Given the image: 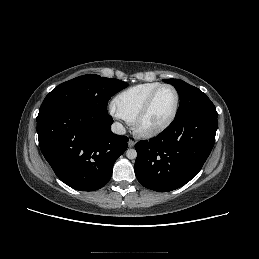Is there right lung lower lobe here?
<instances>
[{
  "label": "right lung lower lobe",
  "instance_id": "right-lung-lower-lobe-1",
  "mask_svg": "<svg viewBox=\"0 0 259 259\" xmlns=\"http://www.w3.org/2000/svg\"><path fill=\"white\" fill-rule=\"evenodd\" d=\"M108 112L80 104H61L37 117L40 149L66 185L80 191L102 188L113 165L127 149L128 138L111 132Z\"/></svg>",
  "mask_w": 259,
  "mask_h": 259
}]
</instances>
